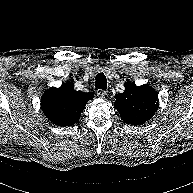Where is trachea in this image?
Returning <instances> with one entry per match:
<instances>
[{"label": "trachea", "instance_id": "3493384b", "mask_svg": "<svg viewBox=\"0 0 193 193\" xmlns=\"http://www.w3.org/2000/svg\"><path fill=\"white\" fill-rule=\"evenodd\" d=\"M95 87L102 90L107 89V79L103 73H98L96 75Z\"/></svg>", "mask_w": 193, "mask_h": 193}]
</instances>
